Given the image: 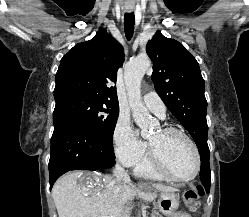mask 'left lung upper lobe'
<instances>
[{"mask_svg":"<svg viewBox=\"0 0 249 217\" xmlns=\"http://www.w3.org/2000/svg\"><path fill=\"white\" fill-rule=\"evenodd\" d=\"M146 51L154 62L152 80L158 95L193 137L201 170L210 174L207 101L198 62L181 43L164 37L160 31L148 42Z\"/></svg>","mask_w":249,"mask_h":217,"instance_id":"obj_1","label":"left lung upper lobe"}]
</instances>
